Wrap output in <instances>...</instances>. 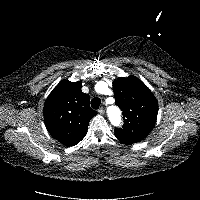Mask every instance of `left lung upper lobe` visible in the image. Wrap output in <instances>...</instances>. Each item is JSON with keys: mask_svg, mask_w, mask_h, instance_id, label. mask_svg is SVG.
<instances>
[{"mask_svg": "<svg viewBox=\"0 0 200 200\" xmlns=\"http://www.w3.org/2000/svg\"><path fill=\"white\" fill-rule=\"evenodd\" d=\"M115 103L123 111L124 125L115 129L116 138L124 144L143 140L153 129L158 104L153 93L137 77L118 78L113 82Z\"/></svg>", "mask_w": 200, "mask_h": 200, "instance_id": "5c2ea615", "label": "left lung upper lobe"}]
</instances>
